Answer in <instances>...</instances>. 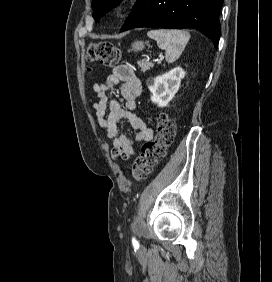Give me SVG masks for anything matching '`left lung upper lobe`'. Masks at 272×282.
Here are the masks:
<instances>
[{"label": "left lung upper lobe", "mask_w": 272, "mask_h": 282, "mask_svg": "<svg viewBox=\"0 0 272 282\" xmlns=\"http://www.w3.org/2000/svg\"><path fill=\"white\" fill-rule=\"evenodd\" d=\"M121 0H93V17L98 21L104 14L116 7Z\"/></svg>", "instance_id": "obj_1"}]
</instances>
